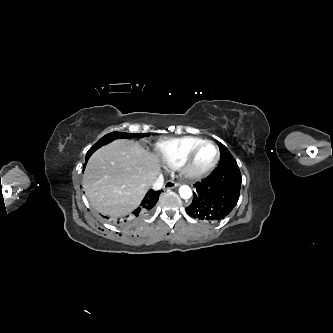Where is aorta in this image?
I'll return each instance as SVG.
<instances>
[{
	"label": "aorta",
	"mask_w": 333,
	"mask_h": 333,
	"mask_svg": "<svg viewBox=\"0 0 333 333\" xmlns=\"http://www.w3.org/2000/svg\"><path fill=\"white\" fill-rule=\"evenodd\" d=\"M180 196L183 199H189L192 196V190L189 186L183 185L179 188Z\"/></svg>",
	"instance_id": "762f6f07"
}]
</instances>
